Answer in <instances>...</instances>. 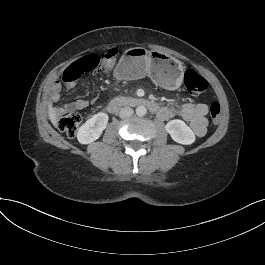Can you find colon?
<instances>
[{"label":"colon","mask_w":265,"mask_h":265,"mask_svg":"<svg viewBox=\"0 0 265 265\" xmlns=\"http://www.w3.org/2000/svg\"><path fill=\"white\" fill-rule=\"evenodd\" d=\"M116 55V50L111 49L103 57L97 54L84 56L65 69L61 75L62 81L66 84H73L85 72L93 70L109 72L114 67ZM184 84L193 96H200L208 88L207 80L193 69H189L184 73ZM220 112V104L213 102L210 106V117L214 125L218 123ZM81 121L82 117L79 113H70L59 119L58 127L67 136L72 137L78 130Z\"/></svg>","instance_id":"obj_1"}]
</instances>
